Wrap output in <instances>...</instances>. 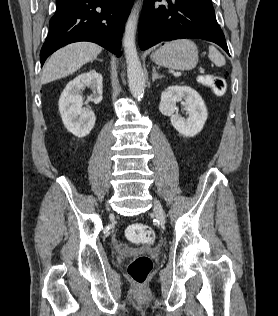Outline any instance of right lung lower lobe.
I'll return each mask as SVG.
<instances>
[{
	"label": "right lung lower lobe",
	"instance_id": "obj_1",
	"mask_svg": "<svg viewBox=\"0 0 278 316\" xmlns=\"http://www.w3.org/2000/svg\"><path fill=\"white\" fill-rule=\"evenodd\" d=\"M133 0H56V12L41 49L40 61L77 41L95 42L120 56V38Z\"/></svg>",
	"mask_w": 278,
	"mask_h": 316
}]
</instances>
